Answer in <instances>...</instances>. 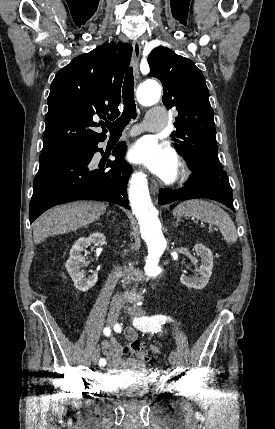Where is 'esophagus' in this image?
<instances>
[{
	"label": "esophagus",
	"instance_id": "esophagus-1",
	"mask_svg": "<svg viewBox=\"0 0 275 429\" xmlns=\"http://www.w3.org/2000/svg\"><path fill=\"white\" fill-rule=\"evenodd\" d=\"M132 45H133L132 67H133L135 76L138 77V75H139V60H140V56H141V45H140L139 41H134ZM150 190H151V193H153V194L159 190L158 184H157L156 180H154V179H152V181H151Z\"/></svg>",
	"mask_w": 275,
	"mask_h": 429
}]
</instances>
